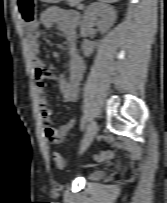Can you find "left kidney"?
Listing matches in <instances>:
<instances>
[{
	"label": "left kidney",
	"instance_id": "left-kidney-1",
	"mask_svg": "<svg viewBox=\"0 0 167 203\" xmlns=\"http://www.w3.org/2000/svg\"><path fill=\"white\" fill-rule=\"evenodd\" d=\"M116 14L111 7L105 6L102 3L91 4L84 13L81 36L87 37L89 28L95 24L97 25L102 33H105L115 22ZM96 43L84 39L82 43V50L86 57H89L95 47Z\"/></svg>",
	"mask_w": 167,
	"mask_h": 203
}]
</instances>
